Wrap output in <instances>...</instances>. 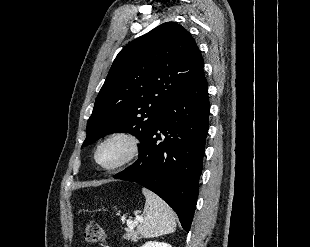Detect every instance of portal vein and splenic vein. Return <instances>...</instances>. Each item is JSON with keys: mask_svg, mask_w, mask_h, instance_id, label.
<instances>
[{"mask_svg": "<svg viewBox=\"0 0 310 247\" xmlns=\"http://www.w3.org/2000/svg\"><path fill=\"white\" fill-rule=\"evenodd\" d=\"M141 220H142L141 217H137L135 221L127 220L128 228L133 229L138 224V222H140Z\"/></svg>", "mask_w": 310, "mask_h": 247, "instance_id": "portal-vein-and-splenic-vein-1", "label": "portal vein and splenic vein"}]
</instances>
